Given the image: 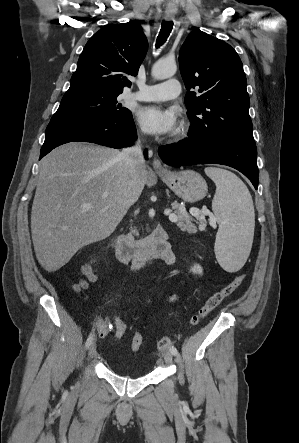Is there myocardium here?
I'll use <instances>...</instances> for the list:
<instances>
[{"label": "myocardium", "mask_w": 299, "mask_h": 443, "mask_svg": "<svg viewBox=\"0 0 299 443\" xmlns=\"http://www.w3.org/2000/svg\"><path fill=\"white\" fill-rule=\"evenodd\" d=\"M190 132V126L189 125H184L183 128L181 129V131L179 132L177 139L181 140L184 139L188 136Z\"/></svg>", "instance_id": "1"}]
</instances>
